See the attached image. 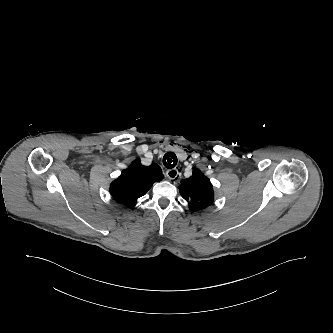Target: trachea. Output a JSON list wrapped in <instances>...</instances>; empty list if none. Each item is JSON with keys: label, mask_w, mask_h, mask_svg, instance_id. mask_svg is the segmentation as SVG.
<instances>
[{"label": "trachea", "mask_w": 333, "mask_h": 333, "mask_svg": "<svg viewBox=\"0 0 333 333\" xmlns=\"http://www.w3.org/2000/svg\"><path fill=\"white\" fill-rule=\"evenodd\" d=\"M177 156L173 152H167L163 157V164L166 168H174L177 165Z\"/></svg>", "instance_id": "1"}]
</instances>
